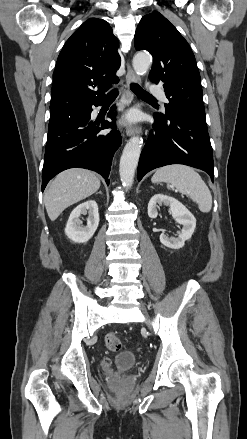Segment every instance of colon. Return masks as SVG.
Masks as SVG:
<instances>
[{
	"label": "colon",
	"mask_w": 247,
	"mask_h": 439,
	"mask_svg": "<svg viewBox=\"0 0 247 439\" xmlns=\"http://www.w3.org/2000/svg\"><path fill=\"white\" fill-rule=\"evenodd\" d=\"M105 343L107 348L113 352L119 351L122 347L121 337L116 333L108 334L106 336Z\"/></svg>",
	"instance_id": "colon-1"
}]
</instances>
